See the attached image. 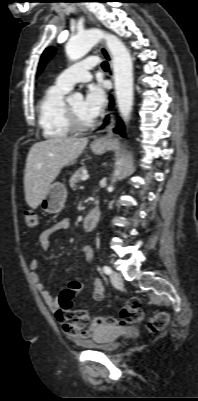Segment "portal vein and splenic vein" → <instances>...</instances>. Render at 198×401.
I'll return each instance as SVG.
<instances>
[{
  "mask_svg": "<svg viewBox=\"0 0 198 401\" xmlns=\"http://www.w3.org/2000/svg\"><path fill=\"white\" fill-rule=\"evenodd\" d=\"M88 178H89V175L85 174V175L82 176L81 180L85 181V180H87Z\"/></svg>",
  "mask_w": 198,
  "mask_h": 401,
  "instance_id": "portal-vein-and-splenic-vein-1",
  "label": "portal vein and splenic vein"
}]
</instances>
